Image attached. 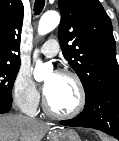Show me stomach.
Masks as SVG:
<instances>
[{
    "label": "stomach",
    "instance_id": "stomach-1",
    "mask_svg": "<svg viewBox=\"0 0 119 141\" xmlns=\"http://www.w3.org/2000/svg\"><path fill=\"white\" fill-rule=\"evenodd\" d=\"M50 141H81L73 129L55 130L50 133Z\"/></svg>",
    "mask_w": 119,
    "mask_h": 141
}]
</instances>
